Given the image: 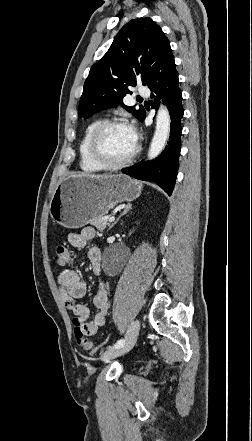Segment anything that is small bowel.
<instances>
[{"mask_svg": "<svg viewBox=\"0 0 252 441\" xmlns=\"http://www.w3.org/2000/svg\"><path fill=\"white\" fill-rule=\"evenodd\" d=\"M94 238L95 230L92 227H85L81 232L70 233L68 241L73 247L83 248ZM88 257L94 274L99 276L101 273V251L93 246L89 249ZM58 282L64 306L73 314L74 318L79 319L84 334L88 336L96 334L98 328L105 325L111 306V297L105 282L99 280V288L93 298L96 307L94 315L91 314L86 305L76 302L77 299L83 298L87 293L86 284L76 270H63L58 276Z\"/></svg>", "mask_w": 252, "mask_h": 441, "instance_id": "small-bowel-1", "label": "small bowel"}]
</instances>
